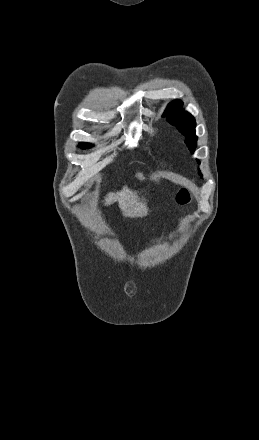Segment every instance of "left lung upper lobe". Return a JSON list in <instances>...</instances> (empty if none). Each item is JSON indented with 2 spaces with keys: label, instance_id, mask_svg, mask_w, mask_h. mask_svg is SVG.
<instances>
[{
  "label": "left lung upper lobe",
  "instance_id": "1",
  "mask_svg": "<svg viewBox=\"0 0 259 440\" xmlns=\"http://www.w3.org/2000/svg\"><path fill=\"white\" fill-rule=\"evenodd\" d=\"M181 101L170 103L163 116H167V121L175 125L178 130L186 137L189 150L193 153L196 147L197 137L195 135V119L182 109ZM200 164V162L198 161ZM201 175V173H199Z\"/></svg>",
  "mask_w": 259,
  "mask_h": 440
}]
</instances>
